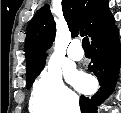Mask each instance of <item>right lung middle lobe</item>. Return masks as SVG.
<instances>
[{
	"label": "right lung middle lobe",
	"instance_id": "right-lung-middle-lobe-1",
	"mask_svg": "<svg viewBox=\"0 0 121 113\" xmlns=\"http://www.w3.org/2000/svg\"><path fill=\"white\" fill-rule=\"evenodd\" d=\"M45 66V61L42 62L36 69L28 71L26 73V87L29 89L34 82L35 78L40 74Z\"/></svg>",
	"mask_w": 121,
	"mask_h": 113
}]
</instances>
